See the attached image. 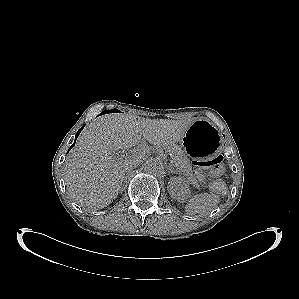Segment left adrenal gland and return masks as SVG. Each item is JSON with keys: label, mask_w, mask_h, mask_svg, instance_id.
<instances>
[{"label": "left adrenal gland", "mask_w": 299, "mask_h": 299, "mask_svg": "<svg viewBox=\"0 0 299 299\" xmlns=\"http://www.w3.org/2000/svg\"><path fill=\"white\" fill-rule=\"evenodd\" d=\"M168 170H169V173H175L176 171L174 170V168L172 167V165H169L168 166Z\"/></svg>", "instance_id": "a2214340"}]
</instances>
